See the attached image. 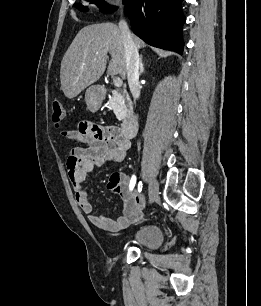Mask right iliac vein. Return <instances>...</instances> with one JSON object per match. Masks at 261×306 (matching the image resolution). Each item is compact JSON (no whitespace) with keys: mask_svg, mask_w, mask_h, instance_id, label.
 <instances>
[{"mask_svg":"<svg viewBox=\"0 0 261 306\" xmlns=\"http://www.w3.org/2000/svg\"><path fill=\"white\" fill-rule=\"evenodd\" d=\"M158 197V183L155 179L151 178L149 181V201L154 202Z\"/></svg>","mask_w":261,"mask_h":306,"instance_id":"1","label":"right iliac vein"}]
</instances>
